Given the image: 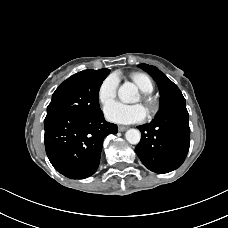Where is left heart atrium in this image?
<instances>
[{"label": "left heart atrium", "mask_w": 228, "mask_h": 228, "mask_svg": "<svg viewBox=\"0 0 228 228\" xmlns=\"http://www.w3.org/2000/svg\"><path fill=\"white\" fill-rule=\"evenodd\" d=\"M108 121L117 124L139 123L146 118L147 112L143 105H127L121 102H113L104 110Z\"/></svg>", "instance_id": "39dd6f15"}]
</instances>
